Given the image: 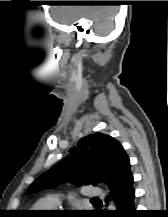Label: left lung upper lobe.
<instances>
[{
  "label": "left lung upper lobe",
  "mask_w": 168,
  "mask_h": 217,
  "mask_svg": "<svg viewBox=\"0 0 168 217\" xmlns=\"http://www.w3.org/2000/svg\"><path fill=\"white\" fill-rule=\"evenodd\" d=\"M129 163L117 140L102 133L88 135L80 139L61 162L37 178L27 194L66 181L76 185L105 182L113 189L124 180Z\"/></svg>",
  "instance_id": "5c2ea615"
}]
</instances>
